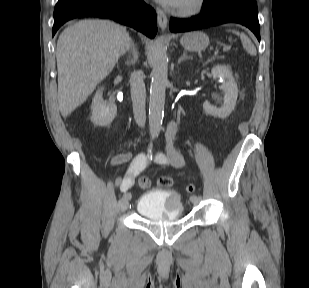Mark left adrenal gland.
<instances>
[{
  "instance_id": "a2214340",
  "label": "left adrenal gland",
  "mask_w": 309,
  "mask_h": 288,
  "mask_svg": "<svg viewBox=\"0 0 309 288\" xmlns=\"http://www.w3.org/2000/svg\"><path fill=\"white\" fill-rule=\"evenodd\" d=\"M190 56H187L186 51L183 52L182 56L179 58L178 63H181V61L190 59Z\"/></svg>"
}]
</instances>
